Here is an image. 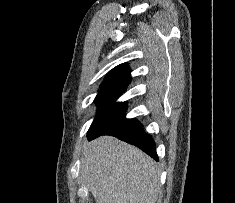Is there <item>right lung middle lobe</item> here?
Segmentation results:
<instances>
[{"label": "right lung middle lobe", "instance_id": "dd1d6c3e", "mask_svg": "<svg viewBox=\"0 0 235 203\" xmlns=\"http://www.w3.org/2000/svg\"><path fill=\"white\" fill-rule=\"evenodd\" d=\"M127 85L103 86L94 102L98 105V113L88 131L90 133L101 123L126 109L125 102L115 100L125 91Z\"/></svg>", "mask_w": 235, "mask_h": 203}]
</instances>
